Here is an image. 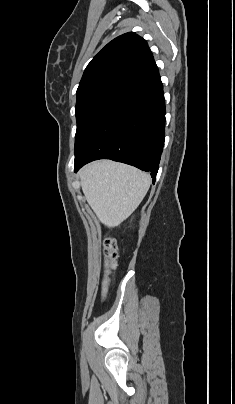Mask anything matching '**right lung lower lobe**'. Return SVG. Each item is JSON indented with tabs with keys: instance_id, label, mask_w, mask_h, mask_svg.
<instances>
[{
	"instance_id": "1",
	"label": "right lung lower lobe",
	"mask_w": 235,
	"mask_h": 404,
	"mask_svg": "<svg viewBox=\"0 0 235 404\" xmlns=\"http://www.w3.org/2000/svg\"><path fill=\"white\" fill-rule=\"evenodd\" d=\"M164 138L165 100L155 69L129 83L85 137L75 151L74 171L93 160L111 159L156 176Z\"/></svg>"
}]
</instances>
